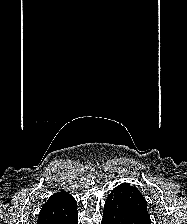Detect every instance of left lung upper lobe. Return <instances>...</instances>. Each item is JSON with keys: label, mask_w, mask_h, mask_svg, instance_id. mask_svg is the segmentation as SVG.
Returning <instances> with one entry per match:
<instances>
[{"label": "left lung upper lobe", "mask_w": 187, "mask_h": 224, "mask_svg": "<svg viewBox=\"0 0 187 224\" xmlns=\"http://www.w3.org/2000/svg\"><path fill=\"white\" fill-rule=\"evenodd\" d=\"M115 190H118L123 195L135 211L149 217L147 202L136 187L131 186L129 183H123L117 186Z\"/></svg>", "instance_id": "5c2ea615"}]
</instances>
